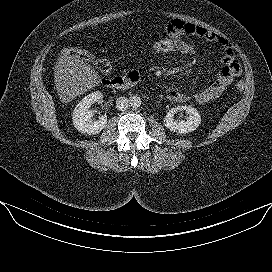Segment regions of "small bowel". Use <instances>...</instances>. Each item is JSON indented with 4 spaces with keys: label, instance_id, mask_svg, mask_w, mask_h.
<instances>
[{
    "label": "small bowel",
    "instance_id": "c3829d8e",
    "mask_svg": "<svg viewBox=\"0 0 272 272\" xmlns=\"http://www.w3.org/2000/svg\"><path fill=\"white\" fill-rule=\"evenodd\" d=\"M167 36L185 43L188 54L194 52V45L185 39V36L203 38L217 44L222 50V69L218 72L216 80L207 88L190 96L175 89H169L167 97L175 103H185L192 98L199 104H207L218 99L227 87L241 74V65L236 59L230 43L222 36L193 23L173 20L167 27Z\"/></svg>",
    "mask_w": 272,
    "mask_h": 272
}]
</instances>
